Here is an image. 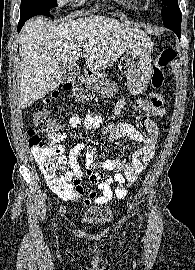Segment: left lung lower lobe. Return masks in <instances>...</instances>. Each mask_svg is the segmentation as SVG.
<instances>
[{
    "label": "left lung lower lobe",
    "mask_w": 195,
    "mask_h": 270,
    "mask_svg": "<svg viewBox=\"0 0 195 270\" xmlns=\"http://www.w3.org/2000/svg\"><path fill=\"white\" fill-rule=\"evenodd\" d=\"M174 32L176 33V35H177V36H178V38L180 39V36H181V34H180V30H175Z\"/></svg>",
    "instance_id": "0a47b994"
}]
</instances>
